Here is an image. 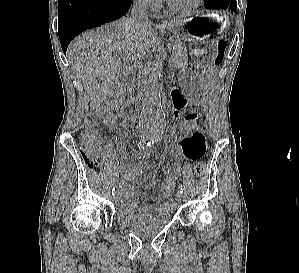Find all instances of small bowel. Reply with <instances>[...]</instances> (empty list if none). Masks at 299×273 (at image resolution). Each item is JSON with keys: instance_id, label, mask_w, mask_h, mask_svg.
<instances>
[{"instance_id": "1", "label": "small bowel", "mask_w": 299, "mask_h": 273, "mask_svg": "<svg viewBox=\"0 0 299 273\" xmlns=\"http://www.w3.org/2000/svg\"><path fill=\"white\" fill-rule=\"evenodd\" d=\"M172 103L177 113L181 112L187 102L183 95L177 91H172ZM104 122L111 127H116V115L113 112H108L104 117ZM179 160L180 161H198L202 158L206 151V141L203 133L199 128L195 129L190 136L179 140ZM147 165V156L130 155V163L127 164L123 160L118 163V204L123 211L134 214L141 218H148L153 215L156 210L151 203H145L142 206H137V195L139 188L128 187L127 182L135 180ZM169 171L168 176L160 186L159 192L154 195L153 199H159L158 212H173L175 203L172 199L173 192L177 185L180 175L179 162H170L167 165Z\"/></svg>"}]
</instances>
